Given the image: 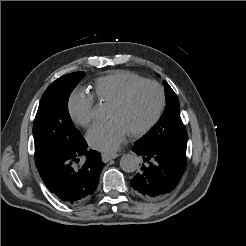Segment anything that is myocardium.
Wrapping results in <instances>:
<instances>
[{
    "instance_id": "obj_1",
    "label": "myocardium",
    "mask_w": 246,
    "mask_h": 246,
    "mask_svg": "<svg viewBox=\"0 0 246 246\" xmlns=\"http://www.w3.org/2000/svg\"><path fill=\"white\" fill-rule=\"evenodd\" d=\"M143 85H153L155 86L158 91H159V104H158V107L156 109V112L155 114L153 115V117L151 118V120L145 124L143 127L137 129V130H134V131H131L130 134L132 136H142L144 134H146L149 130H151L153 128V126L158 122V120L160 119L161 117V114L164 110V107H165V100H166V97H165V91H164V88L163 86L155 81V80H150V79H143L141 81H138L136 83H133L131 85H129L111 104L110 106H113V107H118V106H121L123 105L127 100L128 98L130 97V95L139 87L143 86Z\"/></svg>"
}]
</instances>
